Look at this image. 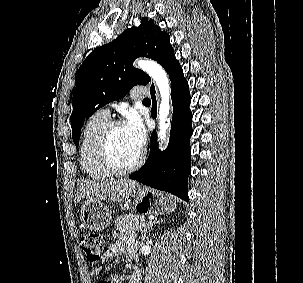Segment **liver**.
<instances>
[{"label":"liver","mask_w":303,"mask_h":283,"mask_svg":"<svg viewBox=\"0 0 303 283\" xmlns=\"http://www.w3.org/2000/svg\"><path fill=\"white\" fill-rule=\"evenodd\" d=\"M137 188L138 183L130 179L101 182L81 180L76 189L74 202L76 204L84 198L89 200H110L113 202H122Z\"/></svg>","instance_id":"1"}]
</instances>
